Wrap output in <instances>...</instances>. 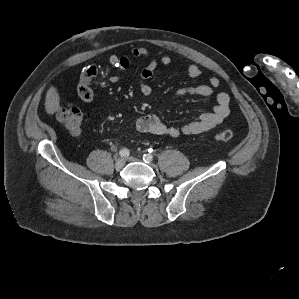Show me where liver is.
Masks as SVG:
<instances>
[{"mask_svg":"<svg viewBox=\"0 0 299 299\" xmlns=\"http://www.w3.org/2000/svg\"><path fill=\"white\" fill-rule=\"evenodd\" d=\"M59 104H60V96L57 92L56 87L51 86L47 93H46V97H45V110L48 114H54L58 108H59Z\"/></svg>","mask_w":299,"mask_h":299,"instance_id":"6515ba94","label":"liver"}]
</instances>
